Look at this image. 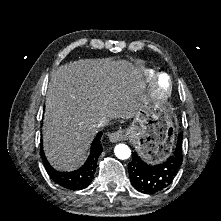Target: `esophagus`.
Here are the masks:
<instances>
[{"mask_svg":"<svg viewBox=\"0 0 221 221\" xmlns=\"http://www.w3.org/2000/svg\"><path fill=\"white\" fill-rule=\"evenodd\" d=\"M130 137L129 133L124 130H117L115 132L109 133L108 138L111 142L115 143L121 140H127Z\"/></svg>","mask_w":221,"mask_h":221,"instance_id":"obj_1","label":"esophagus"}]
</instances>
